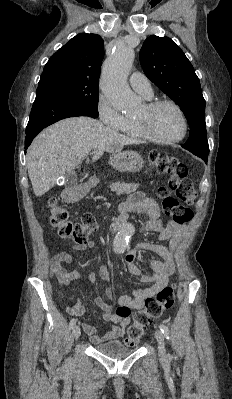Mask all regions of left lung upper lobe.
<instances>
[{
  "mask_svg": "<svg viewBox=\"0 0 232 399\" xmlns=\"http://www.w3.org/2000/svg\"><path fill=\"white\" fill-rule=\"evenodd\" d=\"M140 63L146 76L184 112L190 134L182 147L207 157L205 99L194 68L183 51L169 37L152 35L143 43Z\"/></svg>",
  "mask_w": 232,
  "mask_h": 399,
  "instance_id": "1",
  "label": "left lung upper lobe"
}]
</instances>
